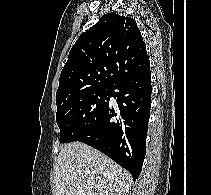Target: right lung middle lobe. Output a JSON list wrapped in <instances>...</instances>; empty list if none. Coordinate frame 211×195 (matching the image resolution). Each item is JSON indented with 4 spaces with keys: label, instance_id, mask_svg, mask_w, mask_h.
<instances>
[{
    "label": "right lung middle lobe",
    "instance_id": "dd1d6c3e",
    "mask_svg": "<svg viewBox=\"0 0 211 195\" xmlns=\"http://www.w3.org/2000/svg\"><path fill=\"white\" fill-rule=\"evenodd\" d=\"M111 88L73 96L57 105L60 143L73 142L99 118L109 104Z\"/></svg>",
    "mask_w": 211,
    "mask_h": 195
}]
</instances>
